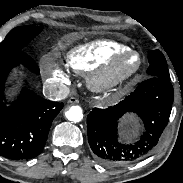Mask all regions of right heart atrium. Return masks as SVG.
Segmentation results:
<instances>
[{
    "mask_svg": "<svg viewBox=\"0 0 183 183\" xmlns=\"http://www.w3.org/2000/svg\"><path fill=\"white\" fill-rule=\"evenodd\" d=\"M50 80L58 85H67L68 78L60 67H55L50 73Z\"/></svg>",
    "mask_w": 183,
    "mask_h": 183,
    "instance_id": "1",
    "label": "right heart atrium"
}]
</instances>
